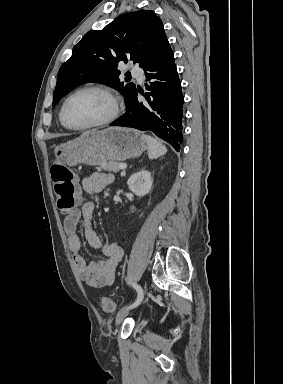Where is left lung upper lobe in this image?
<instances>
[{
    "mask_svg": "<svg viewBox=\"0 0 283 384\" xmlns=\"http://www.w3.org/2000/svg\"><path fill=\"white\" fill-rule=\"evenodd\" d=\"M167 42L163 23L151 10L125 14L102 30L87 32L74 46L71 58L59 69L53 105L73 88L87 82L110 85L128 102L136 86L120 81L118 62L127 63L130 59L145 68Z\"/></svg>",
    "mask_w": 283,
    "mask_h": 384,
    "instance_id": "obj_1",
    "label": "left lung upper lobe"
}]
</instances>
